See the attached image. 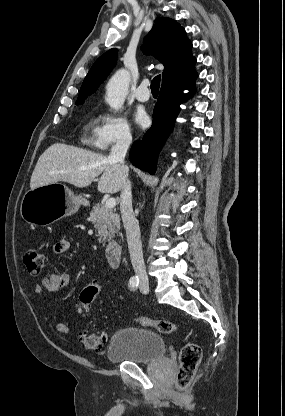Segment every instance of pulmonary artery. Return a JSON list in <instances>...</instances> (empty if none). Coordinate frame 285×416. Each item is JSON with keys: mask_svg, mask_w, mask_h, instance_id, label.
I'll use <instances>...</instances> for the list:
<instances>
[{"mask_svg": "<svg viewBox=\"0 0 285 416\" xmlns=\"http://www.w3.org/2000/svg\"><path fill=\"white\" fill-rule=\"evenodd\" d=\"M148 85H149V81L143 80L141 84L139 85V87L137 88L136 98L139 101H147L150 98V96L148 95V89H147Z\"/></svg>", "mask_w": 285, "mask_h": 416, "instance_id": "obj_1", "label": "pulmonary artery"}]
</instances>
